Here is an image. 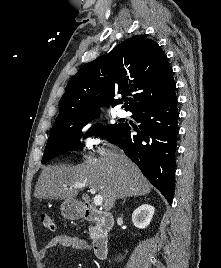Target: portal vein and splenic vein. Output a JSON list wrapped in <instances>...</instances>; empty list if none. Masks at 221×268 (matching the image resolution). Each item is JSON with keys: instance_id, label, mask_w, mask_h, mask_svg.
Segmentation results:
<instances>
[{"instance_id": "portal-vein-and-splenic-vein-1", "label": "portal vein and splenic vein", "mask_w": 221, "mask_h": 268, "mask_svg": "<svg viewBox=\"0 0 221 268\" xmlns=\"http://www.w3.org/2000/svg\"><path fill=\"white\" fill-rule=\"evenodd\" d=\"M72 188H77V189H81V188H84V187H87V185L85 183H75L71 186ZM90 193L91 194H96V189L95 188H91L90 189ZM94 204L96 206H100L102 205L103 203V197L101 195H95L94 197Z\"/></svg>"}]
</instances>
